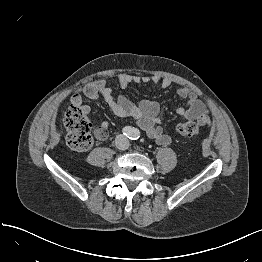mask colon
<instances>
[{"instance_id": "obj_1", "label": "colon", "mask_w": 262, "mask_h": 262, "mask_svg": "<svg viewBox=\"0 0 262 262\" xmlns=\"http://www.w3.org/2000/svg\"><path fill=\"white\" fill-rule=\"evenodd\" d=\"M63 129L61 134L68 145L77 151L91 147L93 139L91 135V123L87 111L78 102L66 101L62 111ZM177 132L185 140L198 141V125L195 121H183L177 124Z\"/></svg>"}]
</instances>
